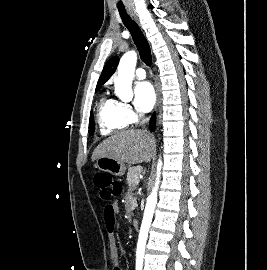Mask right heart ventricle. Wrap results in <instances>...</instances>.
Instances as JSON below:
<instances>
[{
    "mask_svg": "<svg viewBox=\"0 0 267 270\" xmlns=\"http://www.w3.org/2000/svg\"><path fill=\"white\" fill-rule=\"evenodd\" d=\"M99 132L109 135L127 128L128 121L121 115L119 103L113 99L102 97L97 108Z\"/></svg>",
    "mask_w": 267,
    "mask_h": 270,
    "instance_id": "obj_1",
    "label": "right heart ventricle"
}]
</instances>
